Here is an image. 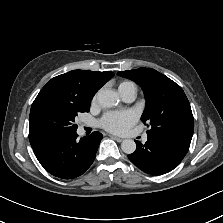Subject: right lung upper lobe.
Wrapping results in <instances>:
<instances>
[{"label": "right lung upper lobe", "instance_id": "right-lung-upper-lobe-1", "mask_svg": "<svg viewBox=\"0 0 223 223\" xmlns=\"http://www.w3.org/2000/svg\"><path fill=\"white\" fill-rule=\"evenodd\" d=\"M113 75L111 71L73 70L52 78L45 84L38 96L53 95L79 106L90 107L95 93ZM43 145L31 144L33 149Z\"/></svg>", "mask_w": 223, "mask_h": 223}]
</instances>
